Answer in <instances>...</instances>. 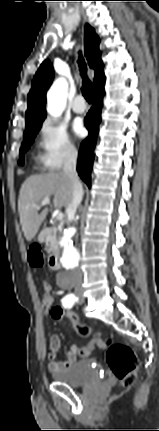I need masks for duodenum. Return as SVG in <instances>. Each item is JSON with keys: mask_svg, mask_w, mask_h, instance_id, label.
Wrapping results in <instances>:
<instances>
[{"mask_svg": "<svg viewBox=\"0 0 159 431\" xmlns=\"http://www.w3.org/2000/svg\"><path fill=\"white\" fill-rule=\"evenodd\" d=\"M52 234V230L50 228H45L40 233V239L42 241H47ZM49 266L53 270H57L60 268V254L58 252H54L49 259Z\"/></svg>", "mask_w": 159, "mask_h": 431, "instance_id": "obj_1", "label": "duodenum"}]
</instances>
